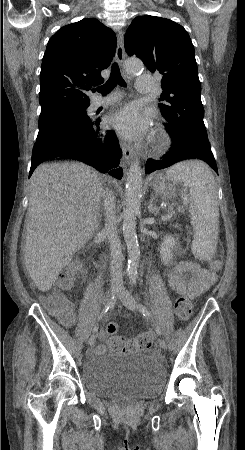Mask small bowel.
Wrapping results in <instances>:
<instances>
[{"label": "small bowel", "instance_id": "small-bowel-1", "mask_svg": "<svg viewBox=\"0 0 245 450\" xmlns=\"http://www.w3.org/2000/svg\"><path fill=\"white\" fill-rule=\"evenodd\" d=\"M217 280L216 274L198 264L181 261L168 274V284L178 295L192 297L207 291ZM105 339V335L101 336ZM106 345L96 348L97 352L106 351Z\"/></svg>", "mask_w": 245, "mask_h": 450}]
</instances>
